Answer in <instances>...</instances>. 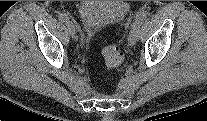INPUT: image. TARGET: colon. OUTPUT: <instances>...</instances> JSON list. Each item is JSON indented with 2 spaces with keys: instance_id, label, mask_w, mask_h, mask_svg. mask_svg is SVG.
Segmentation results:
<instances>
[{
  "instance_id": "1",
  "label": "colon",
  "mask_w": 207,
  "mask_h": 121,
  "mask_svg": "<svg viewBox=\"0 0 207 121\" xmlns=\"http://www.w3.org/2000/svg\"><path fill=\"white\" fill-rule=\"evenodd\" d=\"M103 57L107 67L117 68L124 60V53L117 44H108L103 49Z\"/></svg>"
}]
</instances>
